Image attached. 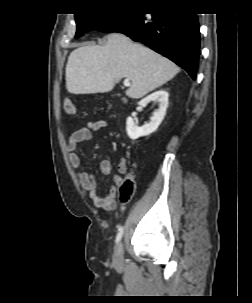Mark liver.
<instances>
[{"mask_svg":"<svg viewBox=\"0 0 252 303\" xmlns=\"http://www.w3.org/2000/svg\"><path fill=\"white\" fill-rule=\"evenodd\" d=\"M179 67L169 59L120 33L106 37L104 45H85L72 51L66 65V88L72 94L111 91L126 77V95L139 99L171 80Z\"/></svg>","mask_w":252,"mask_h":303,"instance_id":"6515ba94","label":"liver"}]
</instances>
